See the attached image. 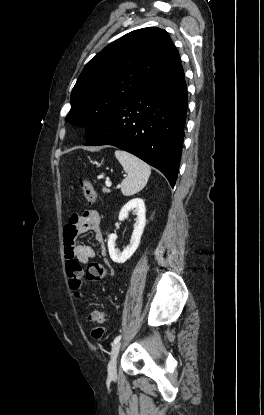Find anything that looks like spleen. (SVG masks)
I'll return each mask as SVG.
<instances>
[{
    "label": "spleen",
    "instance_id": "3e777b00",
    "mask_svg": "<svg viewBox=\"0 0 264 415\" xmlns=\"http://www.w3.org/2000/svg\"><path fill=\"white\" fill-rule=\"evenodd\" d=\"M115 156L127 173V177L121 183L122 194L131 196L141 191L151 174L150 166L126 151L116 150Z\"/></svg>",
    "mask_w": 264,
    "mask_h": 415
}]
</instances>
